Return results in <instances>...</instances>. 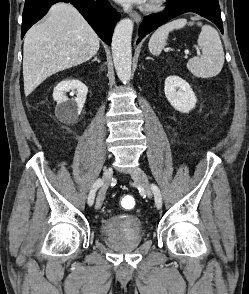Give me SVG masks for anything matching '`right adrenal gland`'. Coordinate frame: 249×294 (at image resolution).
Returning a JSON list of instances; mask_svg holds the SVG:
<instances>
[{
	"label": "right adrenal gland",
	"mask_w": 249,
	"mask_h": 294,
	"mask_svg": "<svg viewBox=\"0 0 249 294\" xmlns=\"http://www.w3.org/2000/svg\"><path fill=\"white\" fill-rule=\"evenodd\" d=\"M97 61L98 63H100V60L97 58V56L92 60V62Z\"/></svg>",
	"instance_id": "1"
}]
</instances>
